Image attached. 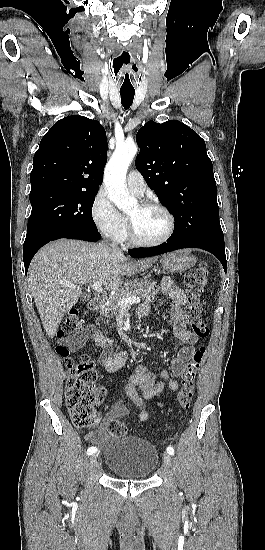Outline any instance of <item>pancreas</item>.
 <instances>
[{"mask_svg": "<svg viewBox=\"0 0 265 550\" xmlns=\"http://www.w3.org/2000/svg\"><path fill=\"white\" fill-rule=\"evenodd\" d=\"M159 292V287L155 281L150 280H134L128 283L119 293L106 300L101 311V316L106 318L116 317L122 310L119 304L120 299L129 296H139L145 303L154 301Z\"/></svg>", "mask_w": 265, "mask_h": 550, "instance_id": "1", "label": "pancreas"}]
</instances>
